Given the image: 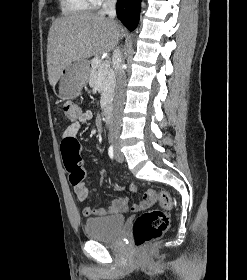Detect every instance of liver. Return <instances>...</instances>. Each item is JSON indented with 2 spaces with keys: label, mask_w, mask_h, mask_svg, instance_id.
<instances>
[{
  "label": "liver",
  "mask_w": 247,
  "mask_h": 280,
  "mask_svg": "<svg viewBox=\"0 0 247 280\" xmlns=\"http://www.w3.org/2000/svg\"><path fill=\"white\" fill-rule=\"evenodd\" d=\"M121 33V25L99 13H84L56 19L50 27L47 43L50 85L56 84L62 69L71 62L112 51Z\"/></svg>",
  "instance_id": "1"
}]
</instances>
